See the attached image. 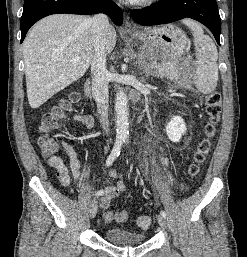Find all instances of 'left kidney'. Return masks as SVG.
Here are the masks:
<instances>
[{
    "mask_svg": "<svg viewBox=\"0 0 247 257\" xmlns=\"http://www.w3.org/2000/svg\"><path fill=\"white\" fill-rule=\"evenodd\" d=\"M165 130L171 141L179 142L182 135L186 133V124L181 117L173 116Z\"/></svg>",
    "mask_w": 247,
    "mask_h": 257,
    "instance_id": "obj_1",
    "label": "left kidney"
}]
</instances>
